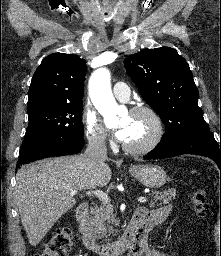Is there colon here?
<instances>
[{"label": "colon", "instance_id": "obj_1", "mask_svg": "<svg viewBox=\"0 0 221 256\" xmlns=\"http://www.w3.org/2000/svg\"><path fill=\"white\" fill-rule=\"evenodd\" d=\"M193 206L196 214L203 217L207 206L204 191L198 189L193 194ZM73 245L72 231L62 228L56 231L36 253L35 256H67Z\"/></svg>", "mask_w": 221, "mask_h": 256}]
</instances>
